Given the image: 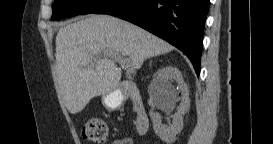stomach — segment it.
I'll return each mask as SVG.
<instances>
[{
  "label": "stomach",
  "instance_id": "stomach-1",
  "mask_svg": "<svg viewBox=\"0 0 273 144\" xmlns=\"http://www.w3.org/2000/svg\"><path fill=\"white\" fill-rule=\"evenodd\" d=\"M124 102V96L119 90H114L102 96V103L109 111L117 110Z\"/></svg>",
  "mask_w": 273,
  "mask_h": 144
}]
</instances>
